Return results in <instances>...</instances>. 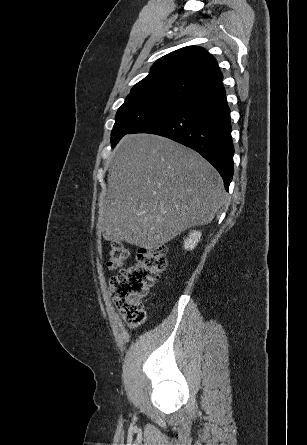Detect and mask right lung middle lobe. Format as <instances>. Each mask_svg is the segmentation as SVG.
<instances>
[{
	"instance_id": "1",
	"label": "right lung middle lobe",
	"mask_w": 307,
	"mask_h": 445,
	"mask_svg": "<svg viewBox=\"0 0 307 445\" xmlns=\"http://www.w3.org/2000/svg\"><path fill=\"white\" fill-rule=\"evenodd\" d=\"M185 99L163 95L127 96L118 109L111 133V144H115L134 128L174 109Z\"/></svg>"
}]
</instances>
